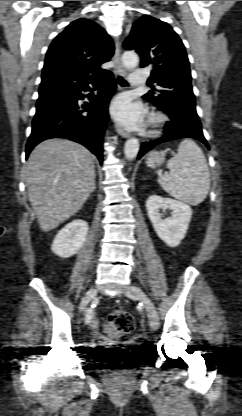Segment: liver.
<instances>
[{"mask_svg": "<svg viewBox=\"0 0 242 416\" xmlns=\"http://www.w3.org/2000/svg\"><path fill=\"white\" fill-rule=\"evenodd\" d=\"M94 155L79 143L52 138L29 156L25 180L29 201L44 232L55 229L86 202L94 190Z\"/></svg>", "mask_w": 242, "mask_h": 416, "instance_id": "1", "label": "liver"}]
</instances>
